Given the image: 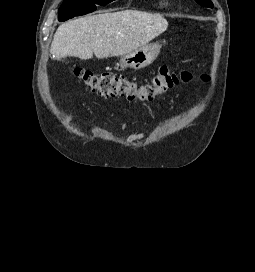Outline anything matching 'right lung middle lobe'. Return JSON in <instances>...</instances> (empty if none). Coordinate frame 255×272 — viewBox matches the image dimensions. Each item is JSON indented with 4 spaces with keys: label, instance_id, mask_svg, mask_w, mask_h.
I'll use <instances>...</instances> for the list:
<instances>
[{
    "label": "right lung middle lobe",
    "instance_id": "obj_1",
    "mask_svg": "<svg viewBox=\"0 0 255 272\" xmlns=\"http://www.w3.org/2000/svg\"><path fill=\"white\" fill-rule=\"evenodd\" d=\"M114 0H64L58 10V20L66 21L75 16L85 15L96 10L95 4L106 5Z\"/></svg>",
    "mask_w": 255,
    "mask_h": 272
}]
</instances>
